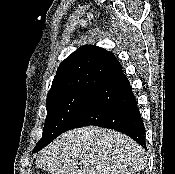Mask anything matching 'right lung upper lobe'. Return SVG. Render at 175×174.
Instances as JSON below:
<instances>
[{"label": "right lung upper lobe", "instance_id": "right-lung-upper-lobe-1", "mask_svg": "<svg viewBox=\"0 0 175 174\" xmlns=\"http://www.w3.org/2000/svg\"><path fill=\"white\" fill-rule=\"evenodd\" d=\"M122 66L112 52L85 45L67 57L57 69L47 98L80 90H92Z\"/></svg>", "mask_w": 175, "mask_h": 174}]
</instances>
